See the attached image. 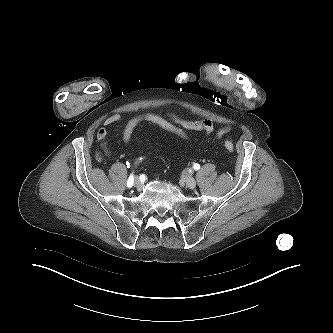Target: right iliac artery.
Wrapping results in <instances>:
<instances>
[{
	"mask_svg": "<svg viewBox=\"0 0 333 333\" xmlns=\"http://www.w3.org/2000/svg\"><path fill=\"white\" fill-rule=\"evenodd\" d=\"M133 182H134V177H133V175H131V176L129 177L128 181H127V187H128V188L132 187Z\"/></svg>",
	"mask_w": 333,
	"mask_h": 333,
	"instance_id": "right-iliac-artery-1",
	"label": "right iliac artery"
}]
</instances>
